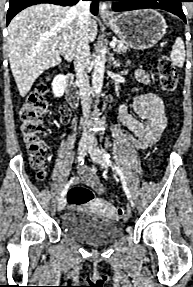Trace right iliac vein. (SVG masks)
<instances>
[{
  "label": "right iliac vein",
  "instance_id": "obj_1",
  "mask_svg": "<svg viewBox=\"0 0 193 287\" xmlns=\"http://www.w3.org/2000/svg\"><path fill=\"white\" fill-rule=\"evenodd\" d=\"M88 143H89V140L88 139H82L79 143V146H78V154L79 155H85L86 152H87V149H88ZM66 205V198H62L59 200L58 204H57V209L58 211H62L64 209Z\"/></svg>",
  "mask_w": 193,
  "mask_h": 287
}]
</instances>
